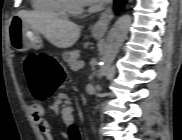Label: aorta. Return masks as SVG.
<instances>
[{
	"mask_svg": "<svg viewBox=\"0 0 182 140\" xmlns=\"http://www.w3.org/2000/svg\"><path fill=\"white\" fill-rule=\"evenodd\" d=\"M132 23V18L129 14H124L117 19L113 27L111 28L102 52V67L98 74V78H101L108 67L113 63L117 56L120 47L127 37L128 31Z\"/></svg>",
	"mask_w": 182,
	"mask_h": 140,
	"instance_id": "1",
	"label": "aorta"
}]
</instances>
